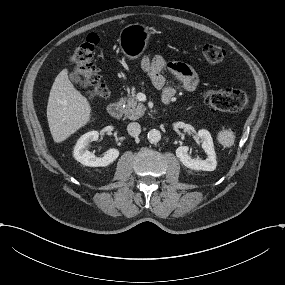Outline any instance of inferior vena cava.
<instances>
[{
  "mask_svg": "<svg viewBox=\"0 0 285 285\" xmlns=\"http://www.w3.org/2000/svg\"><path fill=\"white\" fill-rule=\"evenodd\" d=\"M127 131L132 136H137L141 132V126L137 122H131L127 126Z\"/></svg>",
  "mask_w": 285,
  "mask_h": 285,
  "instance_id": "602c4592",
  "label": "inferior vena cava"
}]
</instances>
